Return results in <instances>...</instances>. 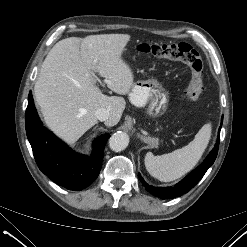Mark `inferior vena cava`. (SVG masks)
<instances>
[{
    "label": "inferior vena cava",
    "mask_w": 247,
    "mask_h": 247,
    "mask_svg": "<svg viewBox=\"0 0 247 247\" xmlns=\"http://www.w3.org/2000/svg\"><path fill=\"white\" fill-rule=\"evenodd\" d=\"M95 116L100 121H107L110 117V112L105 108H99L95 111Z\"/></svg>",
    "instance_id": "inferior-vena-cava-1"
}]
</instances>
